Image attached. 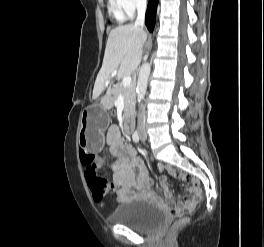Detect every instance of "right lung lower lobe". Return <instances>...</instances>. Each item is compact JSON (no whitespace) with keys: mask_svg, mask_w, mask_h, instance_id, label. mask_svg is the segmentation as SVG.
I'll return each instance as SVG.
<instances>
[{"mask_svg":"<svg viewBox=\"0 0 264 247\" xmlns=\"http://www.w3.org/2000/svg\"><path fill=\"white\" fill-rule=\"evenodd\" d=\"M158 0H149L148 9L146 11L145 24L150 32L153 31L155 26V16Z\"/></svg>","mask_w":264,"mask_h":247,"instance_id":"obj_1","label":"right lung lower lobe"}]
</instances>
